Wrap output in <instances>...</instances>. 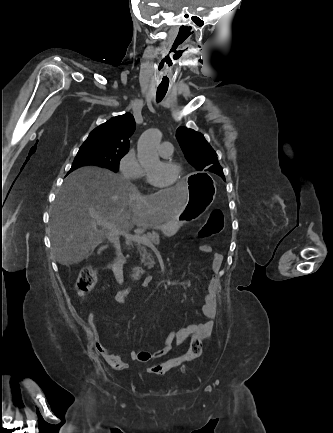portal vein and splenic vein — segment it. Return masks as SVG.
Here are the masks:
<instances>
[{"label": "portal vein and splenic vein", "instance_id": "18ae733b", "mask_svg": "<svg viewBox=\"0 0 333 433\" xmlns=\"http://www.w3.org/2000/svg\"><path fill=\"white\" fill-rule=\"evenodd\" d=\"M97 223L101 224L102 221L101 220H97ZM105 224L109 226L110 232L112 234H114L116 237L120 236V235H123L128 240H132V241H135V242H138V243H142V244H147V245L151 244L149 242V240L147 239L146 236H133V235H129L127 232H124V231H121L119 229L113 228L112 225H110L108 223H105Z\"/></svg>", "mask_w": 333, "mask_h": 433}]
</instances>
